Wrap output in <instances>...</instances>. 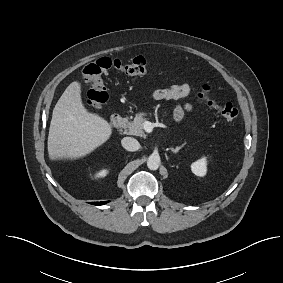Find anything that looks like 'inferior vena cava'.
I'll use <instances>...</instances> for the list:
<instances>
[{
	"label": "inferior vena cava",
	"instance_id": "inferior-vena-cava-1",
	"mask_svg": "<svg viewBox=\"0 0 283 283\" xmlns=\"http://www.w3.org/2000/svg\"><path fill=\"white\" fill-rule=\"evenodd\" d=\"M121 144L127 151H137L140 148L139 142L132 137H124Z\"/></svg>",
	"mask_w": 283,
	"mask_h": 283
}]
</instances>
